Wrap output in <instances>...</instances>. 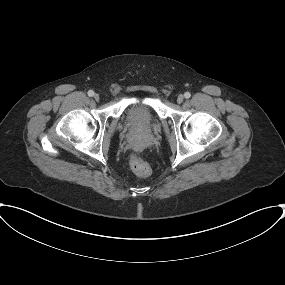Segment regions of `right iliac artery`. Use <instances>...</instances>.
Wrapping results in <instances>:
<instances>
[{
  "label": "right iliac artery",
  "instance_id": "right-iliac-artery-1",
  "mask_svg": "<svg viewBox=\"0 0 285 285\" xmlns=\"http://www.w3.org/2000/svg\"><path fill=\"white\" fill-rule=\"evenodd\" d=\"M94 95V91L93 90H89L88 91V96L92 97Z\"/></svg>",
  "mask_w": 285,
  "mask_h": 285
}]
</instances>
